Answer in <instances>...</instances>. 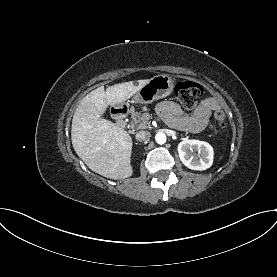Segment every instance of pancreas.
Returning a JSON list of instances; mask_svg holds the SVG:
<instances>
[{
	"mask_svg": "<svg viewBox=\"0 0 277 277\" xmlns=\"http://www.w3.org/2000/svg\"><path fill=\"white\" fill-rule=\"evenodd\" d=\"M143 110H146L143 108ZM149 113H141V112H132V122L131 126H135L137 129H145L148 128L147 121L149 120Z\"/></svg>",
	"mask_w": 277,
	"mask_h": 277,
	"instance_id": "cf45deb5",
	"label": "pancreas"
}]
</instances>
